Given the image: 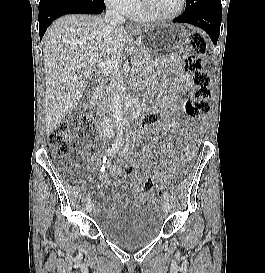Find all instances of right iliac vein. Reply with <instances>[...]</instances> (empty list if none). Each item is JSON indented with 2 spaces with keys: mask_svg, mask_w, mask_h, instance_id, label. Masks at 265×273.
Instances as JSON below:
<instances>
[{
  "mask_svg": "<svg viewBox=\"0 0 265 273\" xmlns=\"http://www.w3.org/2000/svg\"><path fill=\"white\" fill-rule=\"evenodd\" d=\"M93 207H94V204L92 201H88L87 204H86V210L88 212H91L93 210Z\"/></svg>",
  "mask_w": 265,
  "mask_h": 273,
  "instance_id": "obj_1",
  "label": "right iliac vein"
}]
</instances>
